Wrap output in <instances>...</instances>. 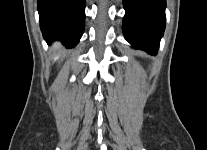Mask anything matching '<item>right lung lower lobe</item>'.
I'll return each instance as SVG.
<instances>
[{"label": "right lung lower lobe", "instance_id": "right-lung-lower-lobe-1", "mask_svg": "<svg viewBox=\"0 0 207 150\" xmlns=\"http://www.w3.org/2000/svg\"><path fill=\"white\" fill-rule=\"evenodd\" d=\"M43 37L75 46L84 31L85 0H37Z\"/></svg>", "mask_w": 207, "mask_h": 150}]
</instances>
